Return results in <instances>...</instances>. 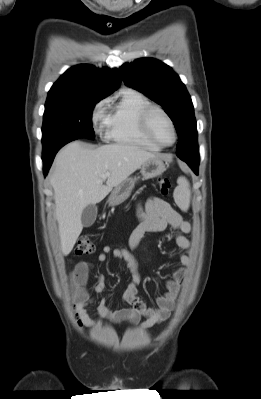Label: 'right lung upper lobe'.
Here are the masks:
<instances>
[{
  "mask_svg": "<svg viewBox=\"0 0 261 399\" xmlns=\"http://www.w3.org/2000/svg\"><path fill=\"white\" fill-rule=\"evenodd\" d=\"M121 78L117 69H97L88 64L70 68L56 81L48 97L83 98L106 97L119 88Z\"/></svg>",
  "mask_w": 261,
  "mask_h": 399,
  "instance_id": "obj_1",
  "label": "right lung upper lobe"
}]
</instances>
